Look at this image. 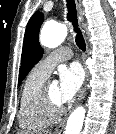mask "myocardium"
Here are the masks:
<instances>
[{"label": "myocardium", "mask_w": 116, "mask_h": 134, "mask_svg": "<svg viewBox=\"0 0 116 134\" xmlns=\"http://www.w3.org/2000/svg\"><path fill=\"white\" fill-rule=\"evenodd\" d=\"M41 98L45 108L53 115H58L63 112V107L60 102H55L49 95L48 92V83H45L42 92Z\"/></svg>", "instance_id": "obj_1"}]
</instances>
